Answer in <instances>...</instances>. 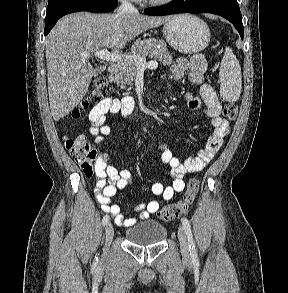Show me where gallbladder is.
Masks as SVG:
<instances>
[{
    "label": "gallbladder",
    "instance_id": "1",
    "mask_svg": "<svg viewBox=\"0 0 288 293\" xmlns=\"http://www.w3.org/2000/svg\"><path fill=\"white\" fill-rule=\"evenodd\" d=\"M104 70H105L104 67H101V66L96 67V68L94 69V76H98V75H100Z\"/></svg>",
    "mask_w": 288,
    "mask_h": 293
}]
</instances>
